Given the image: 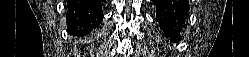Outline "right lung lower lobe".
Listing matches in <instances>:
<instances>
[{
	"label": "right lung lower lobe",
	"instance_id": "1",
	"mask_svg": "<svg viewBox=\"0 0 249 57\" xmlns=\"http://www.w3.org/2000/svg\"><path fill=\"white\" fill-rule=\"evenodd\" d=\"M68 9V30L79 36L89 33L103 19L101 0H70Z\"/></svg>",
	"mask_w": 249,
	"mask_h": 57
}]
</instances>
